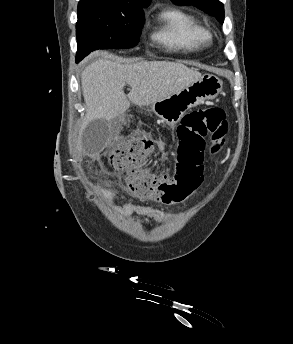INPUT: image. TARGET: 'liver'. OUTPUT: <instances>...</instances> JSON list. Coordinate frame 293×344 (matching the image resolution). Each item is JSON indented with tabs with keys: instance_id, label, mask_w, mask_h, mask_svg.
Listing matches in <instances>:
<instances>
[{
	"instance_id": "liver-1",
	"label": "liver",
	"mask_w": 293,
	"mask_h": 344,
	"mask_svg": "<svg viewBox=\"0 0 293 344\" xmlns=\"http://www.w3.org/2000/svg\"><path fill=\"white\" fill-rule=\"evenodd\" d=\"M201 73L184 64L168 61H142L119 64L99 59L81 74L86 103V123L95 119L111 121L129 108L130 102L147 106L179 93L200 79ZM128 84L131 91L125 95ZM80 149L81 140L78 142Z\"/></svg>"
}]
</instances>
